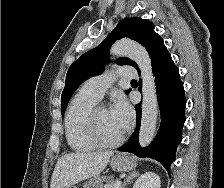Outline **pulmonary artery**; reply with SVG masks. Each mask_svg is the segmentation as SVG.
Masks as SVG:
<instances>
[{"instance_id": "obj_1", "label": "pulmonary artery", "mask_w": 224, "mask_h": 188, "mask_svg": "<svg viewBox=\"0 0 224 188\" xmlns=\"http://www.w3.org/2000/svg\"><path fill=\"white\" fill-rule=\"evenodd\" d=\"M137 71L133 67H120L117 69L109 70L101 75L89 79L82 87V90L100 100L105 91L113 84L117 78L122 79H135Z\"/></svg>"}]
</instances>
